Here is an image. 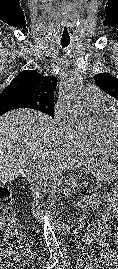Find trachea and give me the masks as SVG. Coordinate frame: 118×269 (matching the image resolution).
Instances as JSON below:
<instances>
[{"instance_id":"3493384b","label":"trachea","mask_w":118,"mask_h":269,"mask_svg":"<svg viewBox=\"0 0 118 269\" xmlns=\"http://www.w3.org/2000/svg\"><path fill=\"white\" fill-rule=\"evenodd\" d=\"M70 44V39H62L61 45L62 47H67Z\"/></svg>"}]
</instances>
